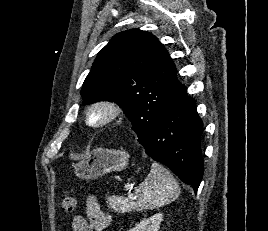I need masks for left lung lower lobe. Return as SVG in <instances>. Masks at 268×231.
<instances>
[{"instance_id":"0a47b994","label":"left lung lower lobe","mask_w":268,"mask_h":231,"mask_svg":"<svg viewBox=\"0 0 268 231\" xmlns=\"http://www.w3.org/2000/svg\"><path fill=\"white\" fill-rule=\"evenodd\" d=\"M202 133L203 123L196 102L183 86L153 128L138 138L147 155L165 164L197 193L204 170Z\"/></svg>"}]
</instances>
